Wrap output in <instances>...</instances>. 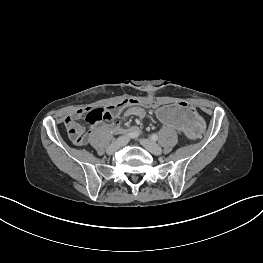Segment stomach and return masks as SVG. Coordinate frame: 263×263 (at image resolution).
I'll return each instance as SVG.
<instances>
[{"label":"stomach","mask_w":263,"mask_h":263,"mask_svg":"<svg viewBox=\"0 0 263 263\" xmlns=\"http://www.w3.org/2000/svg\"><path fill=\"white\" fill-rule=\"evenodd\" d=\"M155 119L170 130H176L185 139H196L206 131V122L189 105L178 102L160 105L155 110Z\"/></svg>","instance_id":"1"}]
</instances>
